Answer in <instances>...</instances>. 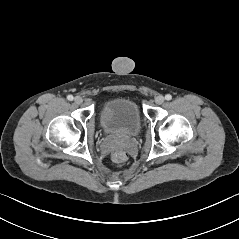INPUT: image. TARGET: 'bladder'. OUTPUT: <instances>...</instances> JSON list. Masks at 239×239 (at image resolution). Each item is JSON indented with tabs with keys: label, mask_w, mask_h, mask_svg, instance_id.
<instances>
[{
	"label": "bladder",
	"mask_w": 239,
	"mask_h": 239,
	"mask_svg": "<svg viewBox=\"0 0 239 239\" xmlns=\"http://www.w3.org/2000/svg\"><path fill=\"white\" fill-rule=\"evenodd\" d=\"M100 124L108 135L136 136L141 129V114L137 103L125 97L107 100L100 110Z\"/></svg>",
	"instance_id": "obj_1"
}]
</instances>
